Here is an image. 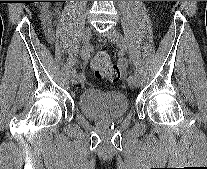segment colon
Masks as SVG:
<instances>
[{"label":"colon","instance_id":"5ec220e1","mask_svg":"<svg viewBox=\"0 0 207 169\" xmlns=\"http://www.w3.org/2000/svg\"><path fill=\"white\" fill-rule=\"evenodd\" d=\"M91 67L97 78H104L111 82H117L120 78L119 68L104 51L95 54Z\"/></svg>","mask_w":207,"mask_h":169}]
</instances>
